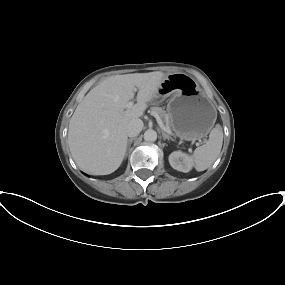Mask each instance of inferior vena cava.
I'll use <instances>...</instances> for the list:
<instances>
[{
	"label": "inferior vena cava",
	"mask_w": 285,
	"mask_h": 285,
	"mask_svg": "<svg viewBox=\"0 0 285 285\" xmlns=\"http://www.w3.org/2000/svg\"><path fill=\"white\" fill-rule=\"evenodd\" d=\"M143 128V121L139 118L132 119L126 127V133L129 137L137 136Z\"/></svg>",
	"instance_id": "1"
}]
</instances>
